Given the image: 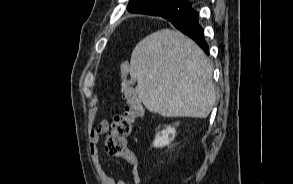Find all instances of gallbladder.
Returning <instances> with one entry per match:
<instances>
[{
    "instance_id": "gallbladder-1",
    "label": "gallbladder",
    "mask_w": 293,
    "mask_h": 184,
    "mask_svg": "<svg viewBox=\"0 0 293 184\" xmlns=\"http://www.w3.org/2000/svg\"><path fill=\"white\" fill-rule=\"evenodd\" d=\"M135 82H136V80H135V79H131V80H130V84H131V85H134V84H135Z\"/></svg>"
}]
</instances>
